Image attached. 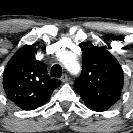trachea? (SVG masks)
<instances>
[{
	"instance_id": "obj_1",
	"label": "trachea",
	"mask_w": 133,
	"mask_h": 133,
	"mask_svg": "<svg viewBox=\"0 0 133 133\" xmlns=\"http://www.w3.org/2000/svg\"><path fill=\"white\" fill-rule=\"evenodd\" d=\"M61 75H62L61 66L58 64L53 65V67L51 68V76L55 78H60Z\"/></svg>"
}]
</instances>
